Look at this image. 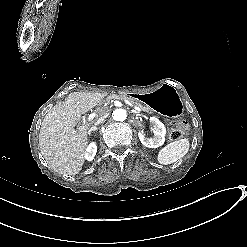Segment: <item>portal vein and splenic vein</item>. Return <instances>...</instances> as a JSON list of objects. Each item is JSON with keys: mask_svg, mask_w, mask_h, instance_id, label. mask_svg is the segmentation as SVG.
Listing matches in <instances>:
<instances>
[{"mask_svg": "<svg viewBox=\"0 0 247 247\" xmlns=\"http://www.w3.org/2000/svg\"><path fill=\"white\" fill-rule=\"evenodd\" d=\"M125 104H129V106H133V103H130V101L125 100ZM135 110L141 111V108L138 106H134ZM98 116V111H93L88 114L87 122H90L93 120L94 117Z\"/></svg>", "mask_w": 247, "mask_h": 247, "instance_id": "1", "label": "portal vein and splenic vein"}]
</instances>
